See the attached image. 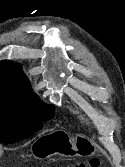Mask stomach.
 Returning <instances> with one entry per match:
<instances>
[{
  "label": "stomach",
  "mask_w": 125,
  "mask_h": 167,
  "mask_svg": "<svg viewBox=\"0 0 125 167\" xmlns=\"http://www.w3.org/2000/svg\"><path fill=\"white\" fill-rule=\"evenodd\" d=\"M56 132L48 134L33 144L32 155L35 158L43 160L55 154L71 157L90 153L87 149L88 141L84 137H71L66 132Z\"/></svg>",
  "instance_id": "0dacf381"
}]
</instances>
